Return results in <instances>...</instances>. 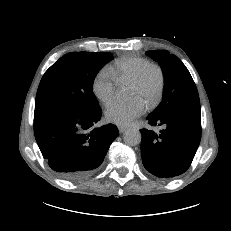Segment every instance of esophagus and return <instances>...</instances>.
<instances>
[{"mask_svg":"<svg viewBox=\"0 0 231 231\" xmlns=\"http://www.w3.org/2000/svg\"><path fill=\"white\" fill-rule=\"evenodd\" d=\"M127 129H128V127H126V126H118V130L120 133H124Z\"/></svg>","mask_w":231,"mask_h":231,"instance_id":"esophagus-1","label":"esophagus"}]
</instances>
